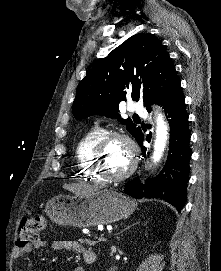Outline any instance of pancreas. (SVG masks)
Wrapping results in <instances>:
<instances>
[{"instance_id":"1","label":"pancreas","mask_w":221,"mask_h":271,"mask_svg":"<svg viewBox=\"0 0 221 271\" xmlns=\"http://www.w3.org/2000/svg\"><path fill=\"white\" fill-rule=\"evenodd\" d=\"M82 237L78 238V241L81 244H87V247H96V244H100V239H89L88 237H85L86 239L83 241L81 239Z\"/></svg>"}]
</instances>
